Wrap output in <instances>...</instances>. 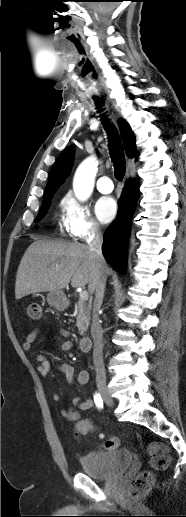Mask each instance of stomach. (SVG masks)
<instances>
[{
	"label": "stomach",
	"instance_id": "1",
	"mask_svg": "<svg viewBox=\"0 0 186 517\" xmlns=\"http://www.w3.org/2000/svg\"><path fill=\"white\" fill-rule=\"evenodd\" d=\"M47 302L50 306L60 311L64 310L68 305L67 298L62 290L49 292L47 295Z\"/></svg>",
	"mask_w": 186,
	"mask_h": 517
}]
</instances>
